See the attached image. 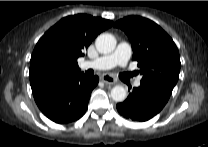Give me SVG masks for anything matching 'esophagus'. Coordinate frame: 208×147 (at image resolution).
Returning a JSON list of instances; mask_svg holds the SVG:
<instances>
[{
  "label": "esophagus",
  "instance_id": "34e87169",
  "mask_svg": "<svg viewBox=\"0 0 208 147\" xmlns=\"http://www.w3.org/2000/svg\"><path fill=\"white\" fill-rule=\"evenodd\" d=\"M101 80L107 85H114L117 83L116 79L109 74L102 75Z\"/></svg>",
  "mask_w": 208,
  "mask_h": 147
}]
</instances>
